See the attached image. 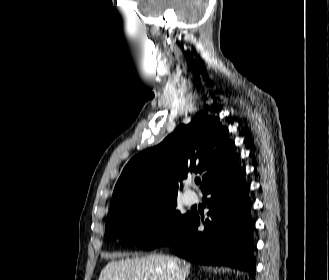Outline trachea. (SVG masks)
I'll list each match as a JSON object with an SVG mask.
<instances>
[{"label":"trachea","mask_w":329,"mask_h":280,"mask_svg":"<svg viewBox=\"0 0 329 280\" xmlns=\"http://www.w3.org/2000/svg\"><path fill=\"white\" fill-rule=\"evenodd\" d=\"M195 183H196V184H199V183H200V180H199V179H196V180H195Z\"/></svg>","instance_id":"1"}]
</instances>
